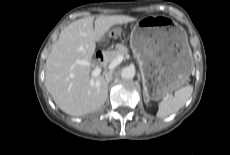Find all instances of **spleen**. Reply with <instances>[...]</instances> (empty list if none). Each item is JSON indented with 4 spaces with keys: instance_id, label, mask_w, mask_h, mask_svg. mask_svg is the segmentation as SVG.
<instances>
[{
    "instance_id": "1",
    "label": "spleen",
    "mask_w": 230,
    "mask_h": 155,
    "mask_svg": "<svg viewBox=\"0 0 230 155\" xmlns=\"http://www.w3.org/2000/svg\"><path fill=\"white\" fill-rule=\"evenodd\" d=\"M193 92L192 85H187L175 91L174 96L165 97L158 104V117H167L180 110L189 100Z\"/></svg>"
}]
</instances>
